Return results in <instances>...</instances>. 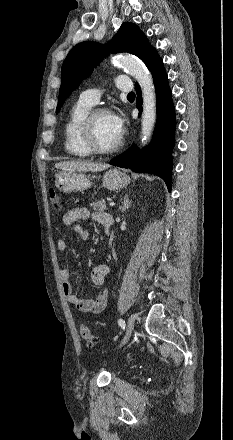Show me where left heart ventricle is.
<instances>
[{
	"mask_svg": "<svg viewBox=\"0 0 233 440\" xmlns=\"http://www.w3.org/2000/svg\"><path fill=\"white\" fill-rule=\"evenodd\" d=\"M94 140L101 148L112 147L120 138L113 125L111 114L99 115L94 121Z\"/></svg>",
	"mask_w": 233,
	"mask_h": 440,
	"instance_id": "left-heart-ventricle-1",
	"label": "left heart ventricle"
}]
</instances>
